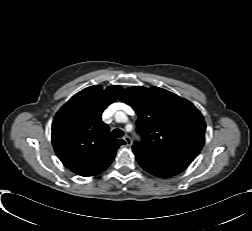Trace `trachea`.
<instances>
[{"label": "trachea", "instance_id": "trachea-1", "mask_svg": "<svg viewBox=\"0 0 252 231\" xmlns=\"http://www.w3.org/2000/svg\"><path fill=\"white\" fill-rule=\"evenodd\" d=\"M123 135L124 132L121 129L116 128L112 131V136L115 138H121Z\"/></svg>", "mask_w": 252, "mask_h": 231}]
</instances>
